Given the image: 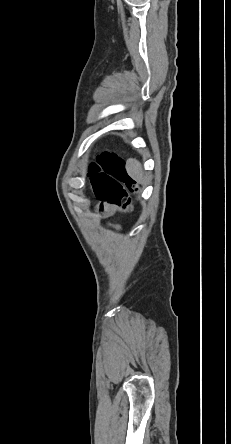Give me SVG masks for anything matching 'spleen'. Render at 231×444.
I'll list each match as a JSON object with an SVG mask.
<instances>
[{
  "label": "spleen",
  "instance_id": "obj_1",
  "mask_svg": "<svg viewBox=\"0 0 231 444\" xmlns=\"http://www.w3.org/2000/svg\"><path fill=\"white\" fill-rule=\"evenodd\" d=\"M126 171L128 175L136 180L138 183H141L145 180V175L142 170V166L140 162L136 159L130 158L126 162Z\"/></svg>",
  "mask_w": 231,
  "mask_h": 444
}]
</instances>
